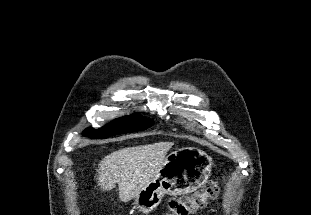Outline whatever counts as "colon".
Segmentation results:
<instances>
[{"label":"colon","instance_id":"colon-1","mask_svg":"<svg viewBox=\"0 0 311 215\" xmlns=\"http://www.w3.org/2000/svg\"><path fill=\"white\" fill-rule=\"evenodd\" d=\"M219 193L217 183L209 184L202 192L190 197L172 199L168 202L164 215H191L204 208L206 204L216 198Z\"/></svg>","mask_w":311,"mask_h":215}]
</instances>
